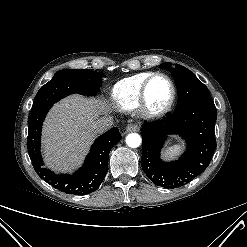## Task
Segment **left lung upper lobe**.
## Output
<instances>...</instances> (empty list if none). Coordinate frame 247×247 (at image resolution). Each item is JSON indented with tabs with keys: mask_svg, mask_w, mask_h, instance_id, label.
Returning a JSON list of instances; mask_svg holds the SVG:
<instances>
[{
	"mask_svg": "<svg viewBox=\"0 0 247 247\" xmlns=\"http://www.w3.org/2000/svg\"><path fill=\"white\" fill-rule=\"evenodd\" d=\"M161 67L171 70L175 78L178 88L176 111L199 103L213 102L208 88L198 80L193 72L179 64H176L174 69L169 63H164Z\"/></svg>",
	"mask_w": 247,
	"mask_h": 247,
	"instance_id": "1",
	"label": "left lung upper lobe"
}]
</instances>
